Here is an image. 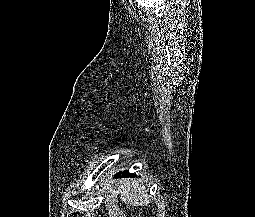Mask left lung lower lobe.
Returning <instances> with one entry per match:
<instances>
[{"label":"left lung lower lobe","instance_id":"obj_1","mask_svg":"<svg viewBox=\"0 0 255 217\" xmlns=\"http://www.w3.org/2000/svg\"><path fill=\"white\" fill-rule=\"evenodd\" d=\"M128 176L132 177V176H136V175L130 174L128 171H123V172L117 173V175L115 177L120 178V177H128Z\"/></svg>","mask_w":255,"mask_h":217}]
</instances>
